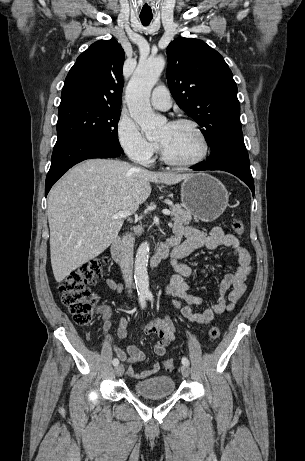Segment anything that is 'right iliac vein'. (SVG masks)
<instances>
[{
	"label": "right iliac vein",
	"instance_id": "1",
	"mask_svg": "<svg viewBox=\"0 0 305 461\" xmlns=\"http://www.w3.org/2000/svg\"><path fill=\"white\" fill-rule=\"evenodd\" d=\"M123 373H124V366L121 365V364H120V365H117V366L115 367V374H116L117 376H122Z\"/></svg>",
	"mask_w": 305,
	"mask_h": 461
}]
</instances>
